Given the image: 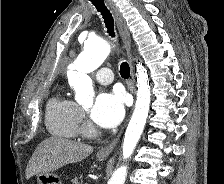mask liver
<instances>
[{"label": "liver", "instance_id": "6515ba94", "mask_svg": "<svg viewBox=\"0 0 224 184\" xmlns=\"http://www.w3.org/2000/svg\"><path fill=\"white\" fill-rule=\"evenodd\" d=\"M92 152L93 148L83 143L60 137L47 138L34 151L26 168V179L40 172L50 173L64 165L80 162Z\"/></svg>", "mask_w": 224, "mask_h": 184}]
</instances>
